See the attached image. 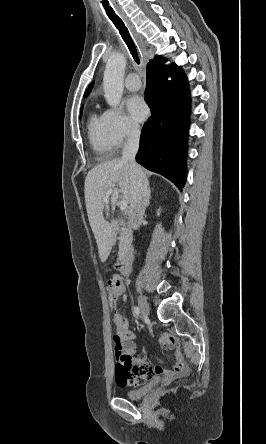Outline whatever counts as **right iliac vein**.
Returning <instances> with one entry per match:
<instances>
[{
	"instance_id": "obj_1",
	"label": "right iliac vein",
	"mask_w": 266,
	"mask_h": 444,
	"mask_svg": "<svg viewBox=\"0 0 266 444\" xmlns=\"http://www.w3.org/2000/svg\"><path fill=\"white\" fill-rule=\"evenodd\" d=\"M138 304H139L141 315L143 317H148L149 316V306H148L146 299L141 295L138 296Z\"/></svg>"
}]
</instances>
